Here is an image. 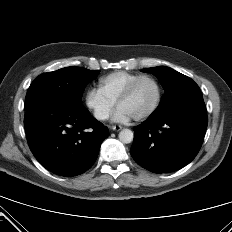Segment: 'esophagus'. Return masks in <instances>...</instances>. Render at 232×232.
<instances>
[{
	"label": "esophagus",
	"mask_w": 232,
	"mask_h": 232,
	"mask_svg": "<svg viewBox=\"0 0 232 232\" xmlns=\"http://www.w3.org/2000/svg\"><path fill=\"white\" fill-rule=\"evenodd\" d=\"M111 129L114 130V131H120L122 129V126H120V125H113L111 127Z\"/></svg>",
	"instance_id": "obj_1"
}]
</instances>
